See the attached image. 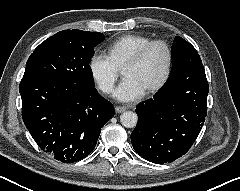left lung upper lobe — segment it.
<instances>
[{"mask_svg": "<svg viewBox=\"0 0 240 191\" xmlns=\"http://www.w3.org/2000/svg\"><path fill=\"white\" fill-rule=\"evenodd\" d=\"M172 57L173 66L171 70V75L175 74L176 69L184 64H191L198 67H203L200 56L197 53L196 49L193 47V45L179 36L175 37L172 44ZM168 81L169 79L167 80L165 85L168 83Z\"/></svg>", "mask_w": 240, "mask_h": 191, "instance_id": "1", "label": "left lung upper lobe"}]
</instances>
